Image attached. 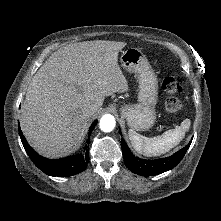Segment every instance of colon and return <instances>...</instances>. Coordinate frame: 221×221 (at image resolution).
<instances>
[{
    "instance_id": "colon-1",
    "label": "colon",
    "mask_w": 221,
    "mask_h": 221,
    "mask_svg": "<svg viewBox=\"0 0 221 221\" xmlns=\"http://www.w3.org/2000/svg\"><path fill=\"white\" fill-rule=\"evenodd\" d=\"M162 89L168 96L165 101L166 112L173 114L179 111L181 108V102L177 96L182 92V86L179 80L174 76L164 78L162 82Z\"/></svg>"
}]
</instances>
